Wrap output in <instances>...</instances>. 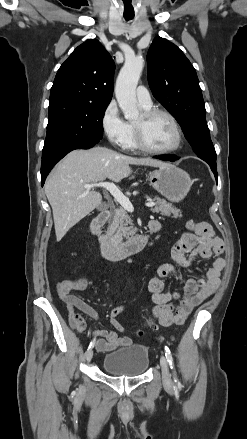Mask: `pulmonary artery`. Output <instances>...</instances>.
<instances>
[{
    "label": "pulmonary artery",
    "mask_w": 247,
    "mask_h": 439,
    "mask_svg": "<svg viewBox=\"0 0 247 439\" xmlns=\"http://www.w3.org/2000/svg\"><path fill=\"white\" fill-rule=\"evenodd\" d=\"M136 96L138 102L143 107H150L151 106V97L149 91L144 86H139L136 90Z\"/></svg>",
    "instance_id": "pulmonary-artery-1"
}]
</instances>
